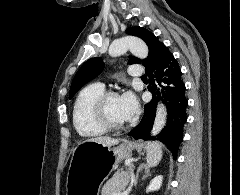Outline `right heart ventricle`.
Wrapping results in <instances>:
<instances>
[{
  "label": "right heart ventricle",
  "instance_id": "right-heart-ventricle-1",
  "mask_svg": "<svg viewBox=\"0 0 240 195\" xmlns=\"http://www.w3.org/2000/svg\"><path fill=\"white\" fill-rule=\"evenodd\" d=\"M105 92L100 83L85 87L78 95L73 108V122L76 130L83 137H98L106 133L95 119L94 105L98 97Z\"/></svg>",
  "mask_w": 240,
  "mask_h": 195
}]
</instances>
